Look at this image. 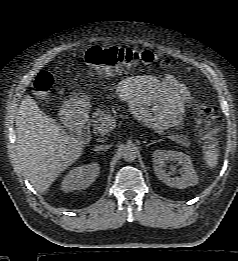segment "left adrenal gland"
<instances>
[{"instance_id": "left-adrenal-gland-1", "label": "left adrenal gland", "mask_w": 238, "mask_h": 261, "mask_svg": "<svg viewBox=\"0 0 238 261\" xmlns=\"http://www.w3.org/2000/svg\"><path fill=\"white\" fill-rule=\"evenodd\" d=\"M160 141H162V140H161V139H160V140H153V141H151L150 143H148V144L146 145V147H149L150 145L155 144V143L160 142Z\"/></svg>"}]
</instances>
